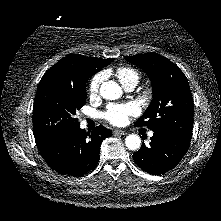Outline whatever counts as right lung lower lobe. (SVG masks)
<instances>
[{"label":"right lung lower lobe","instance_id":"obj_1","mask_svg":"<svg viewBox=\"0 0 221 221\" xmlns=\"http://www.w3.org/2000/svg\"><path fill=\"white\" fill-rule=\"evenodd\" d=\"M112 131L97 126L86 132L80 126L70 128L49 141L38 144V150L55 171L69 176H83L94 168L99 160L101 142Z\"/></svg>","mask_w":221,"mask_h":221}]
</instances>
